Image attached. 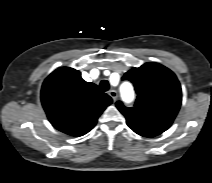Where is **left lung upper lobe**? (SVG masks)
Segmentation results:
<instances>
[{
	"instance_id": "obj_1",
	"label": "left lung upper lobe",
	"mask_w": 212,
	"mask_h": 183,
	"mask_svg": "<svg viewBox=\"0 0 212 183\" xmlns=\"http://www.w3.org/2000/svg\"><path fill=\"white\" fill-rule=\"evenodd\" d=\"M123 79L133 83L137 93L134 107L117 102L127 125L137 134L154 137L167 130L181 105V87L175 74L158 63L132 68Z\"/></svg>"
}]
</instances>
